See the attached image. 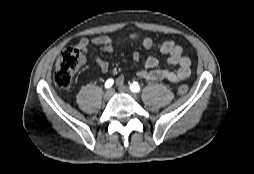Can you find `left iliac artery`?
I'll list each match as a JSON object with an SVG mask.
<instances>
[{"label":"left iliac artery","instance_id":"left-iliac-artery-1","mask_svg":"<svg viewBox=\"0 0 254 174\" xmlns=\"http://www.w3.org/2000/svg\"><path fill=\"white\" fill-rule=\"evenodd\" d=\"M130 90L134 93H137L140 91V86L138 85L137 82H134L133 84L130 85Z\"/></svg>","mask_w":254,"mask_h":174}]
</instances>
